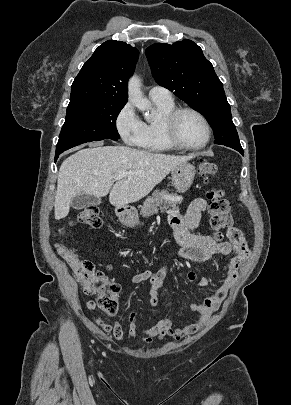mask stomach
I'll return each mask as SVG.
<instances>
[{
	"label": "stomach",
	"instance_id": "obj_1",
	"mask_svg": "<svg viewBox=\"0 0 291 405\" xmlns=\"http://www.w3.org/2000/svg\"><path fill=\"white\" fill-rule=\"evenodd\" d=\"M196 174L195 167L187 162L178 165L172 171V183L179 193L186 192L192 185ZM119 221L125 225L134 227L139 224L138 213L135 209H124L118 212Z\"/></svg>",
	"mask_w": 291,
	"mask_h": 405
}]
</instances>
